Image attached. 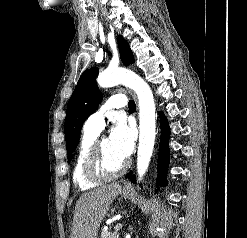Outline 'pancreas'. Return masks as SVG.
I'll list each match as a JSON object with an SVG mask.
<instances>
[{
	"label": "pancreas",
	"instance_id": "obj_1",
	"mask_svg": "<svg viewBox=\"0 0 247 238\" xmlns=\"http://www.w3.org/2000/svg\"><path fill=\"white\" fill-rule=\"evenodd\" d=\"M101 238H118L113 232L110 231H102Z\"/></svg>",
	"mask_w": 247,
	"mask_h": 238
}]
</instances>
